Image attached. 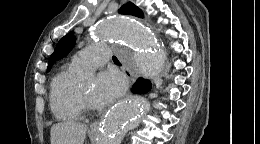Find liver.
Returning <instances> with one entry per match:
<instances>
[{
	"instance_id": "liver-1",
	"label": "liver",
	"mask_w": 260,
	"mask_h": 144,
	"mask_svg": "<svg viewBox=\"0 0 260 144\" xmlns=\"http://www.w3.org/2000/svg\"><path fill=\"white\" fill-rule=\"evenodd\" d=\"M87 125L74 121L56 123L51 127V144H83Z\"/></svg>"
}]
</instances>
